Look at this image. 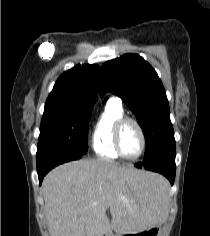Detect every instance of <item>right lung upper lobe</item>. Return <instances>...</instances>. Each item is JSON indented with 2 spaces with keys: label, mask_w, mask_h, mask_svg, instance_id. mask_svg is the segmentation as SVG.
<instances>
[{
  "label": "right lung upper lobe",
  "mask_w": 210,
  "mask_h": 236,
  "mask_svg": "<svg viewBox=\"0 0 210 236\" xmlns=\"http://www.w3.org/2000/svg\"><path fill=\"white\" fill-rule=\"evenodd\" d=\"M100 68L77 65L56 81L45 105L63 104L78 109H92L96 101Z\"/></svg>",
  "instance_id": "right-lung-upper-lobe-1"
}]
</instances>
